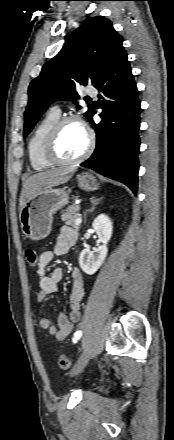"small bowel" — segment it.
<instances>
[{
    "mask_svg": "<svg viewBox=\"0 0 174 440\" xmlns=\"http://www.w3.org/2000/svg\"><path fill=\"white\" fill-rule=\"evenodd\" d=\"M77 233L69 228L62 227L57 237V242L53 250L41 253L38 261L39 292L36 302L40 304L48 295L57 291L58 284L63 278V271L56 267L47 271V267L55 256L66 254L69 249L77 242ZM73 285L69 297V314L60 313L58 315V325L52 324L51 320L44 317L40 320V327L54 336L57 341L66 339L73 331L74 325L81 319V302L85 291V279L79 269H74L71 273Z\"/></svg>",
    "mask_w": 174,
    "mask_h": 440,
    "instance_id": "1",
    "label": "small bowel"
}]
</instances>
